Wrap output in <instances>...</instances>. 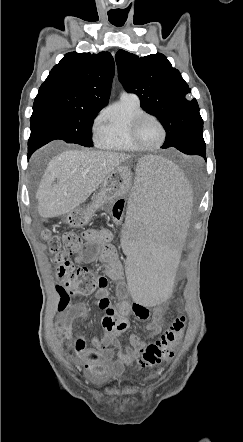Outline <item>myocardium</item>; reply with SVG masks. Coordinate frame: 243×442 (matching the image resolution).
I'll return each mask as SVG.
<instances>
[{
    "instance_id": "1",
    "label": "myocardium",
    "mask_w": 243,
    "mask_h": 442,
    "mask_svg": "<svg viewBox=\"0 0 243 442\" xmlns=\"http://www.w3.org/2000/svg\"><path fill=\"white\" fill-rule=\"evenodd\" d=\"M146 118H151V119L155 120L162 130V138L159 141V143H157L154 146H147V145L143 144L138 138V134H137L138 126L142 122V120H144ZM130 138H131L132 142L134 143V145L141 150H147V151L157 150L166 141L167 129H166V126L163 123V121L157 115H155L153 113H149V112H144V113L138 115L137 117H135L134 120L132 121L131 126H130Z\"/></svg>"
}]
</instances>
